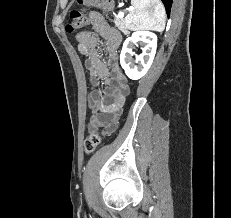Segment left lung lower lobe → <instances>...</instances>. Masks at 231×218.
<instances>
[{"label":"left lung lower lobe","mask_w":231,"mask_h":218,"mask_svg":"<svg viewBox=\"0 0 231 218\" xmlns=\"http://www.w3.org/2000/svg\"><path fill=\"white\" fill-rule=\"evenodd\" d=\"M172 1L173 0H162L164 6H165V9H166V12H167V15L169 16L170 15V10H171V6H172Z\"/></svg>","instance_id":"left-lung-lower-lobe-1"}]
</instances>
